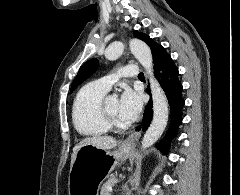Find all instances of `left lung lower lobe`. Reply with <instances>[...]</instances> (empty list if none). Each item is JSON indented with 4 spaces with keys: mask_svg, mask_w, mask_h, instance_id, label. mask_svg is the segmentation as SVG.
<instances>
[{
    "mask_svg": "<svg viewBox=\"0 0 240 195\" xmlns=\"http://www.w3.org/2000/svg\"><path fill=\"white\" fill-rule=\"evenodd\" d=\"M153 68L156 79L160 83V86L163 88L165 95L169 101L171 110V121L169 129L164 140L158 144V147L167 153L170 147V142L173 137L176 136L178 126L182 122V109L185 104V101L182 97L183 87L179 80V71L170 55L157 62ZM147 92L150 93L149 87L147 88ZM152 107V100H150L145 107L142 123L136 128L137 131L141 128L143 131H145L150 125L153 116Z\"/></svg>",
    "mask_w": 240,
    "mask_h": 195,
    "instance_id": "obj_1",
    "label": "left lung lower lobe"
}]
</instances>
